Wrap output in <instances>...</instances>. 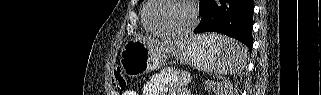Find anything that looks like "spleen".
I'll list each match as a JSON object with an SVG mask.
<instances>
[{"mask_svg": "<svg viewBox=\"0 0 321 95\" xmlns=\"http://www.w3.org/2000/svg\"><path fill=\"white\" fill-rule=\"evenodd\" d=\"M211 37L217 38L223 47V52L218 58L215 70L218 74H236L243 70L247 59V48L238 41L216 34Z\"/></svg>", "mask_w": 321, "mask_h": 95, "instance_id": "obj_1", "label": "spleen"}]
</instances>
